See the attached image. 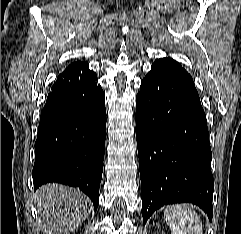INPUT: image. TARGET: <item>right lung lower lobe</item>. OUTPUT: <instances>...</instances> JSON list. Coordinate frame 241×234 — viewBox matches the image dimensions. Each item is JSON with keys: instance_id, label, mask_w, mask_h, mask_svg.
Returning a JSON list of instances; mask_svg holds the SVG:
<instances>
[{"instance_id": "obj_1", "label": "right lung lower lobe", "mask_w": 241, "mask_h": 234, "mask_svg": "<svg viewBox=\"0 0 241 234\" xmlns=\"http://www.w3.org/2000/svg\"><path fill=\"white\" fill-rule=\"evenodd\" d=\"M88 63L59 75L40 116L34 189L48 182L78 187L98 207L106 138L105 94Z\"/></svg>"}]
</instances>
